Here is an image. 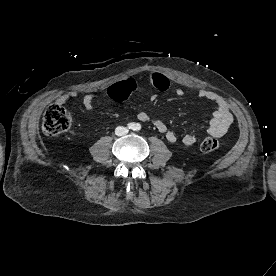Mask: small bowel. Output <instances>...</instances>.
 <instances>
[{
  "mask_svg": "<svg viewBox=\"0 0 276 276\" xmlns=\"http://www.w3.org/2000/svg\"><path fill=\"white\" fill-rule=\"evenodd\" d=\"M146 80L153 88L157 90L164 91L169 88V81L163 74L159 72H152L148 76L140 75L137 78H131L126 81L114 84L109 89L108 95L115 100H122L136 91L139 85ZM174 92L178 96H182L184 94L183 89L179 87L176 88ZM198 95L201 98L212 101L216 105V110L210 119L208 127L206 128V133L214 137L224 136L233 122V116L230 111L229 104L221 95L214 91L199 89ZM76 96L77 93L75 91H69L58 96L56 102L58 104H64L76 98ZM82 103L85 108L92 109L94 105V95L92 93L85 94L82 98ZM137 118L141 122L151 123L157 129V131L165 136V139L169 143H175L177 141L176 134L167 127L163 120L151 117L146 112H139L137 114ZM195 142L196 136L193 134H186L182 137V143L186 146H191L195 144Z\"/></svg>",
  "mask_w": 276,
  "mask_h": 276,
  "instance_id": "small-bowel-1",
  "label": "small bowel"
}]
</instances>
